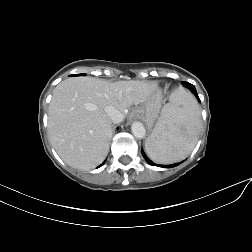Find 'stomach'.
Returning <instances> with one entry per match:
<instances>
[{
	"mask_svg": "<svg viewBox=\"0 0 252 252\" xmlns=\"http://www.w3.org/2000/svg\"><path fill=\"white\" fill-rule=\"evenodd\" d=\"M136 111L144 117L149 126H152L158 117L160 107L158 106L157 102L150 101L137 107Z\"/></svg>",
	"mask_w": 252,
	"mask_h": 252,
	"instance_id": "stomach-1",
	"label": "stomach"
}]
</instances>
